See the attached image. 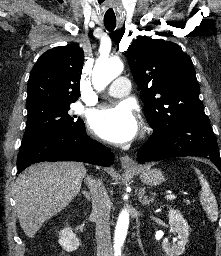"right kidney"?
<instances>
[{
	"instance_id": "obj_1",
	"label": "right kidney",
	"mask_w": 221,
	"mask_h": 256,
	"mask_svg": "<svg viewBox=\"0 0 221 256\" xmlns=\"http://www.w3.org/2000/svg\"><path fill=\"white\" fill-rule=\"evenodd\" d=\"M59 244L68 252L76 250L80 241L73 233L71 227H65L59 232Z\"/></svg>"
}]
</instances>
